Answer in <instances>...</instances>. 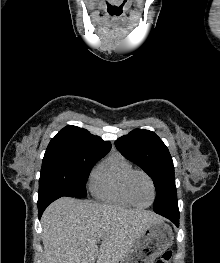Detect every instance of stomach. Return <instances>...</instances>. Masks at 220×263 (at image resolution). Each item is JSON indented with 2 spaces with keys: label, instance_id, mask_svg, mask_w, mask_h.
Listing matches in <instances>:
<instances>
[{
  "label": "stomach",
  "instance_id": "0dacf381",
  "mask_svg": "<svg viewBox=\"0 0 220 263\" xmlns=\"http://www.w3.org/2000/svg\"><path fill=\"white\" fill-rule=\"evenodd\" d=\"M172 228L163 220L147 227L121 263H154L172 244Z\"/></svg>",
  "mask_w": 220,
  "mask_h": 263
}]
</instances>
